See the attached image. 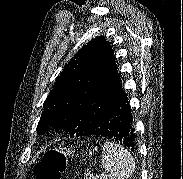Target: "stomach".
<instances>
[{
    "label": "stomach",
    "instance_id": "stomach-1",
    "mask_svg": "<svg viewBox=\"0 0 183 179\" xmlns=\"http://www.w3.org/2000/svg\"><path fill=\"white\" fill-rule=\"evenodd\" d=\"M92 151H94V150H92ZM92 151H89V156H92Z\"/></svg>",
    "mask_w": 183,
    "mask_h": 179
}]
</instances>
